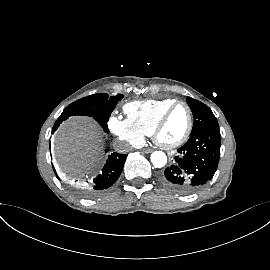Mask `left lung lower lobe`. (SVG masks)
Instances as JSON below:
<instances>
[{
  "mask_svg": "<svg viewBox=\"0 0 270 270\" xmlns=\"http://www.w3.org/2000/svg\"><path fill=\"white\" fill-rule=\"evenodd\" d=\"M219 127H206L191 134L180 147L173 164L162 175V182L171 190L188 194L205 186L214 176L220 158Z\"/></svg>",
  "mask_w": 270,
  "mask_h": 270,
  "instance_id": "1",
  "label": "left lung lower lobe"
}]
</instances>
